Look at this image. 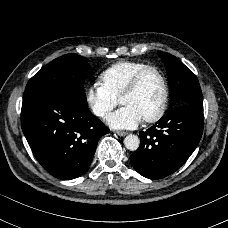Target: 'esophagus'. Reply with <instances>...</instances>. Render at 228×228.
<instances>
[{
    "label": "esophagus",
    "instance_id": "esophagus-1",
    "mask_svg": "<svg viewBox=\"0 0 228 228\" xmlns=\"http://www.w3.org/2000/svg\"><path fill=\"white\" fill-rule=\"evenodd\" d=\"M116 134L120 137H124L128 134V132H125V131H116Z\"/></svg>",
    "mask_w": 228,
    "mask_h": 228
}]
</instances>
